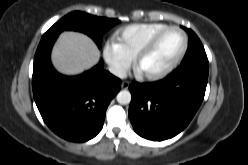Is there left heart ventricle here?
Segmentation results:
<instances>
[{
    "mask_svg": "<svg viewBox=\"0 0 248 165\" xmlns=\"http://www.w3.org/2000/svg\"><path fill=\"white\" fill-rule=\"evenodd\" d=\"M183 44V36L178 31L164 34L154 48L139 63L141 73H152L169 64L179 53Z\"/></svg>",
    "mask_w": 248,
    "mask_h": 165,
    "instance_id": "1",
    "label": "left heart ventricle"
}]
</instances>
